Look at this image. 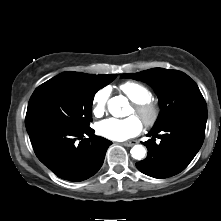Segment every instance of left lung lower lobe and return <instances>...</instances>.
Here are the masks:
<instances>
[{
  "mask_svg": "<svg viewBox=\"0 0 221 221\" xmlns=\"http://www.w3.org/2000/svg\"><path fill=\"white\" fill-rule=\"evenodd\" d=\"M207 121V113H191L178 117L167 125L152 129V140L144 144L147 158L137 162L136 167L154 178H168L183 171L201 148ZM161 141L155 143V138Z\"/></svg>",
  "mask_w": 221,
  "mask_h": 221,
  "instance_id": "0a47b994",
  "label": "left lung lower lobe"
}]
</instances>
